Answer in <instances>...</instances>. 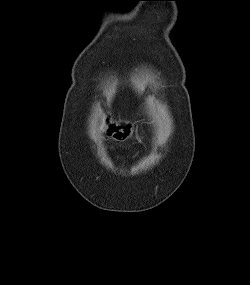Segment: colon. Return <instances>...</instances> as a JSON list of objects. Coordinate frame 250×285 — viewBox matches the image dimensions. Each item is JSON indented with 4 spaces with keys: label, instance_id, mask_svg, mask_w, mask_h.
I'll return each instance as SVG.
<instances>
[{
    "label": "colon",
    "instance_id": "obj_1",
    "mask_svg": "<svg viewBox=\"0 0 250 285\" xmlns=\"http://www.w3.org/2000/svg\"><path fill=\"white\" fill-rule=\"evenodd\" d=\"M110 135H114L118 138H125L130 135V128L129 127H118V126H111L108 130Z\"/></svg>",
    "mask_w": 250,
    "mask_h": 285
}]
</instances>
